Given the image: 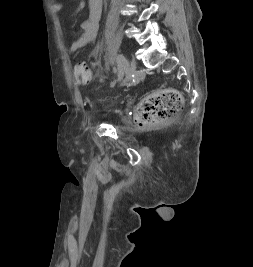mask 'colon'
Instances as JSON below:
<instances>
[{
  "label": "colon",
  "mask_w": 253,
  "mask_h": 267,
  "mask_svg": "<svg viewBox=\"0 0 253 267\" xmlns=\"http://www.w3.org/2000/svg\"><path fill=\"white\" fill-rule=\"evenodd\" d=\"M75 79L79 84L88 83L91 71L86 64L75 67ZM184 100L176 89H163L146 96L138 106L139 121L144 124L162 122L173 118L183 109Z\"/></svg>",
  "instance_id": "1"
}]
</instances>
